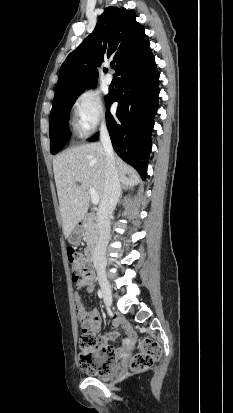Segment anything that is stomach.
I'll return each instance as SVG.
<instances>
[{"label":"stomach","mask_w":233,"mask_h":413,"mask_svg":"<svg viewBox=\"0 0 233 413\" xmlns=\"http://www.w3.org/2000/svg\"><path fill=\"white\" fill-rule=\"evenodd\" d=\"M83 237V229L77 225L68 236V242L72 245H78Z\"/></svg>","instance_id":"stomach-1"}]
</instances>
